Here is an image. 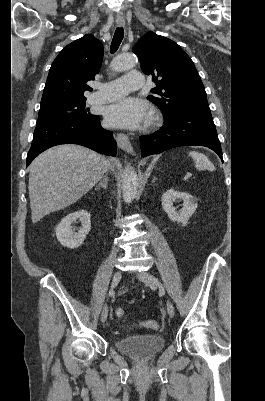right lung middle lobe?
<instances>
[{
	"label": "right lung middle lobe",
	"mask_w": 265,
	"mask_h": 401,
	"mask_svg": "<svg viewBox=\"0 0 265 401\" xmlns=\"http://www.w3.org/2000/svg\"><path fill=\"white\" fill-rule=\"evenodd\" d=\"M86 98L56 100L41 104L37 123L48 119H97V115L88 113L85 108Z\"/></svg>",
	"instance_id": "right-lung-middle-lobe-1"
}]
</instances>
